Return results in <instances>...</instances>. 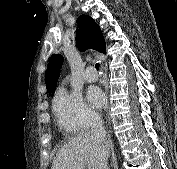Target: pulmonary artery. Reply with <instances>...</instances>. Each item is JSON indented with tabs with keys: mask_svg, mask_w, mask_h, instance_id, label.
<instances>
[{
	"mask_svg": "<svg viewBox=\"0 0 177 169\" xmlns=\"http://www.w3.org/2000/svg\"><path fill=\"white\" fill-rule=\"evenodd\" d=\"M84 79L87 82H96L98 80V73L93 66H89L86 68Z\"/></svg>",
	"mask_w": 177,
	"mask_h": 169,
	"instance_id": "e3ab8cb5",
	"label": "pulmonary artery"
}]
</instances>
